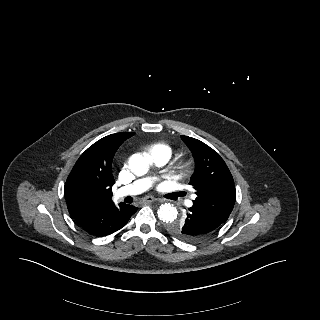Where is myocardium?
I'll return each mask as SVG.
<instances>
[{"label":"myocardium","instance_id":"f54148a6","mask_svg":"<svg viewBox=\"0 0 320 320\" xmlns=\"http://www.w3.org/2000/svg\"><path fill=\"white\" fill-rule=\"evenodd\" d=\"M192 166V161L190 159H186L184 160L180 166H179V169L181 171H188Z\"/></svg>","mask_w":320,"mask_h":320}]
</instances>
